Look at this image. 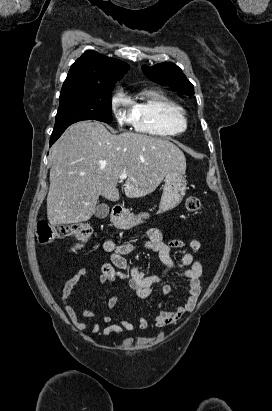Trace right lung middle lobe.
<instances>
[{
    "mask_svg": "<svg viewBox=\"0 0 272 411\" xmlns=\"http://www.w3.org/2000/svg\"><path fill=\"white\" fill-rule=\"evenodd\" d=\"M114 84L90 90L60 93V105L51 138L60 137L71 124L82 120L112 122L111 92Z\"/></svg>",
    "mask_w": 272,
    "mask_h": 411,
    "instance_id": "right-lung-middle-lobe-1",
    "label": "right lung middle lobe"
}]
</instances>
